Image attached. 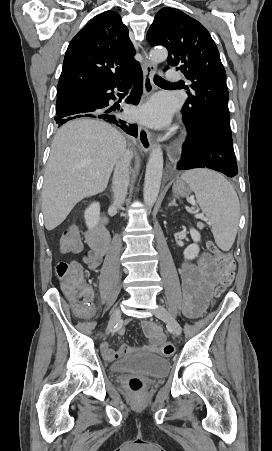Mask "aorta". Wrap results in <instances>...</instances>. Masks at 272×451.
<instances>
[{"instance_id": "762f6f07", "label": "aorta", "mask_w": 272, "mask_h": 451, "mask_svg": "<svg viewBox=\"0 0 272 451\" xmlns=\"http://www.w3.org/2000/svg\"><path fill=\"white\" fill-rule=\"evenodd\" d=\"M168 52L166 48H154L149 52V60L152 64H159L167 60ZM163 170V152L161 146H154L148 164L146 166L143 198L147 208L154 206L157 202Z\"/></svg>"}]
</instances>
